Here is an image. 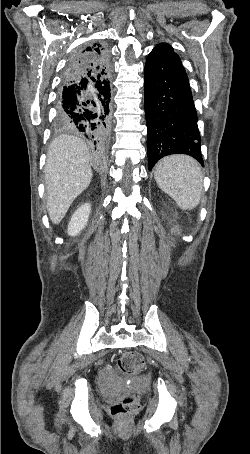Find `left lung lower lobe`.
Returning <instances> with one entry per match:
<instances>
[{
  "instance_id": "left-lung-lower-lobe-1",
  "label": "left lung lower lobe",
  "mask_w": 250,
  "mask_h": 454,
  "mask_svg": "<svg viewBox=\"0 0 250 454\" xmlns=\"http://www.w3.org/2000/svg\"><path fill=\"white\" fill-rule=\"evenodd\" d=\"M148 167L170 154H187L202 166L197 113L180 59L151 52L144 74Z\"/></svg>"
}]
</instances>
